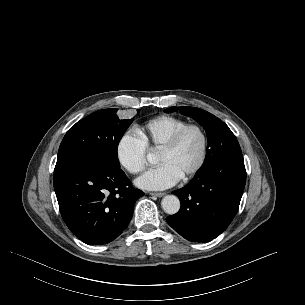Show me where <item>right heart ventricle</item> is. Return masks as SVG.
<instances>
[{"mask_svg":"<svg viewBox=\"0 0 305 305\" xmlns=\"http://www.w3.org/2000/svg\"><path fill=\"white\" fill-rule=\"evenodd\" d=\"M187 124L189 122L185 119L162 115L146 121L138 128V135L148 149L156 151Z\"/></svg>","mask_w":305,"mask_h":305,"instance_id":"right-heart-ventricle-1","label":"right heart ventricle"}]
</instances>
